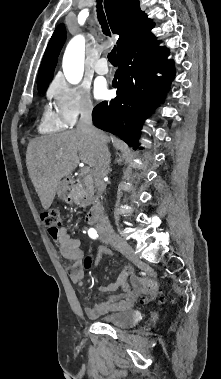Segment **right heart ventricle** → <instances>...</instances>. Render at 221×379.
<instances>
[{"instance_id": "right-heart-ventricle-1", "label": "right heart ventricle", "mask_w": 221, "mask_h": 379, "mask_svg": "<svg viewBox=\"0 0 221 379\" xmlns=\"http://www.w3.org/2000/svg\"><path fill=\"white\" fill-rule=\"evenodd\" d=\"M67 125L48 105L44 107L38 123V130L41 133H53L66 128Z\"/></svg>"}]
</instances>
